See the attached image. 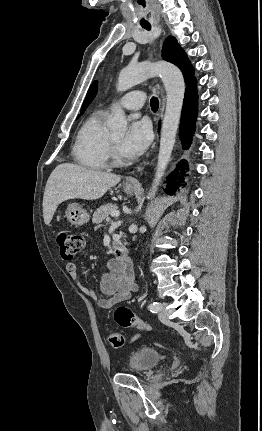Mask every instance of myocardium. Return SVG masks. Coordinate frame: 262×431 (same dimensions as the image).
I'll return each mask as SVG.
<instances>
[{"instance_id":"myocardium-1","label":"myocardium","mask_w":262,"mask_h":431,"mask_svg":"<svg viewBox=\"0 0 262 431\" xmlns=\"http://www.w3.org/2000/svg\"><path fill=\"white\" fill-rule=\"evenodd\" d=\"M110 155L113 156V162L115 165H122L123 164V160L121 159V157L119 156V154L117 152V145L112 140L111 137H110Z\"/></svg>"}]
</instances>
